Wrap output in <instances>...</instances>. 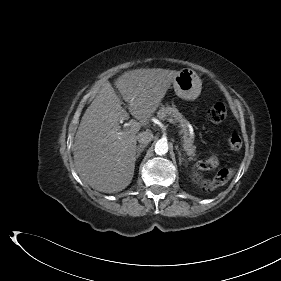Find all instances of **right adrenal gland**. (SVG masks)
<instances>
[{"label": "right adrenal gland", "mask_w": 281, "mask_h": 281, "mask_svg": "<svg viewBox=\"0 0 281 281\" xmlns=\"http://www.w3.org/2000/svg\"><path fill=\"white\" fill-rule=\"evenodd\" d=\"M146 147V145H139L136 149V159H138L141 155V153L144 151V148Z\"/></svg>", "instance_id": "right-adrenal-gland-1"}]
</instances>
